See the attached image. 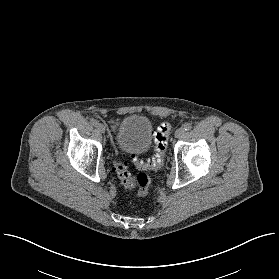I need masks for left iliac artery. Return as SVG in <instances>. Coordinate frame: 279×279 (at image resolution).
Wrapping results in <instances>:
<instances>
[{
    "label": "left iliac artery",
    "instance_id": "obj_1",
    "mask_svg": "<svg viewBox=\"0 0 279 279\" xmlns=\"http://www.w3.org/2000/svg\"><path fill=\"white\" fill-rule=\"evenodd\" d=\"M191 128H192V126H191L190 123H185V124H183V129H184L185 131H189Z\"/></svg>",
    "mask_w": 279,
    "mask_h": 279
}]
</instances>
